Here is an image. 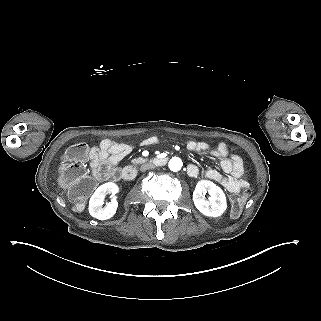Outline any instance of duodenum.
<instances>
[{
    "label": "duodenum",
    "mask_w": 321,
    "mask_h": 321,
    "mask_svg": "<svg viewBox=\"0 0 321 321\" xmlns=\"http://www.w3.org/2000/svg\"><path fill=\"white\" fill-rule=\"evenodd\" d=\"M151 162L156 166H163L167 162V158L165 157H157L151 160ZM137 170L134 166H128L124 168L121 172V178L124 181H131L136 177Z\"/></svg>",
    "instance_id": "1"
}]
</instances>
